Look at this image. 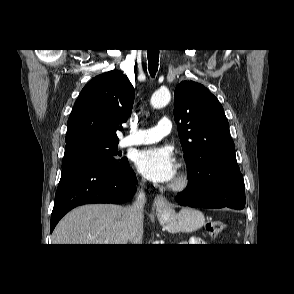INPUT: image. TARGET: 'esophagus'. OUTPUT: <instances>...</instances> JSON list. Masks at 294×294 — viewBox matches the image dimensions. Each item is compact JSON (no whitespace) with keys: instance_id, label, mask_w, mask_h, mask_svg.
Segmentation results:
<instances>
[{"instance_id":"34e87169","label":"esophagus","mask_w":294,"mask_h":294,"mask_svg":"<svg viewBox=\"0 0 294 294\" xmlns=\"http://www.w3.org/2000/svg\"><path fill=\"white\" fill-rule=\"evenodd\" d=\"M155 210L157 214H166L171 213L173 208L163 195H157L155 198Z\"/></svg>"}]
</instances>
